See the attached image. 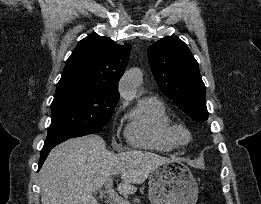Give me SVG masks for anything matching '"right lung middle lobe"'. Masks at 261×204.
Here are the masks:
<instances>
[{
    "label": "right lung middle lobe",
    "instance_id": "dd1d6c3e",
    "mask_svg": "<svg viewBox=\"0 0 261 204\" xmlns=\"http://www.w3.org/2000/svg\"><path fill=\"white\" fill-rule=\"evenodd\" d=\"M118 99L92 91H70L54 96L46 142L97 133L111 119Z\"/></svg>",
    "mask_w": 261,
    "mask_h": 204
}]
</instances>
